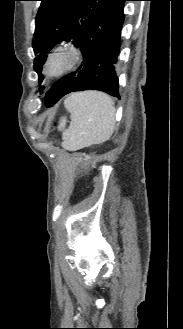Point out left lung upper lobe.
I'll list each match as a JSON object with an SVG mask.
<instances>
[{
	"label": "left lung upper lobe",
	"instance_id": "1",
	"mask_svg": "<svg viewBox=\"0 0 183 329\" xmlns=\"http://www.w3.org/2000/svg\"><path fill=\"white\" fill-rule=\"evenodd\" d=\"M36 16V29L33 36V49L36 55L34 70L43 80L42 66L48 53L56 44L72 41L79 47L80 41L89 26L117 0H40ZM43 87H41V93Z\"/></svg>",
	"mask_w": 183,
	"mask_h": 329
}]
</instances>
